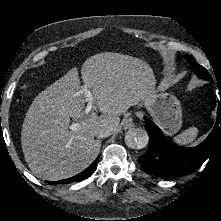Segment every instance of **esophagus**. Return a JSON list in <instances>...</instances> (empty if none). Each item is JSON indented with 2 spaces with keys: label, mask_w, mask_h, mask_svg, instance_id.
I'll return each instance as SVG.
<instances>
[{
  "label": "esophagus",
  "mask_w": 221,
  "mask_h": 221,
  "mask_svg": "<svg viewBox=\"0 0 221 221\" xmlns=\"http://www.w3.org/2000/svg\"><path fill=\"white\" fill-rule=\"evenodd\" d=\"M134 126L133 117H126L123 120V128L124 129H130Z\"/></svg>",
  "instance_id": "esophagus-1"
}]
</instances>
